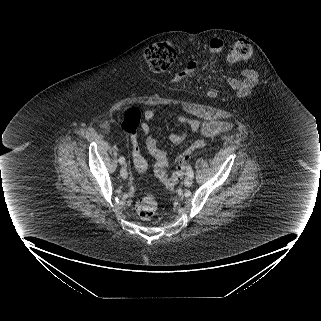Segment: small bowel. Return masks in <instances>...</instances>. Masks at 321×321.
I'll return each mask as SVG.
<instances>
[{
	"mask_svg": "<svg viewBox=\"0 0 321 321\" xmlns=\"http://www.w3.org/2000/svg\"><path fill=\"white\" fill-rule=\"evenodd\" d=\"M224 48V42L221 39L214 38L209 42V53L212 55L219 54ZM200 63L198 61H190L187 65L180 70L173 78L174 82H179L191 74H193L199 67ZM240 74L244 77V81L241 82L240 79L231 76L229 78V87L238 96H245L252 91L253 85L257 82V76L255 73L251 72L250 68L244 66L240 70ZM154 111L152 109H147L144 112V121L140 125V130L144 134H148L150 131L149 122L154 118ZM176 120L186 127L183 133H172L169 135V140L171 143L178 145L182 143L188 136L189 132L198 133L205 138L214 139L219 134L228 131L231 128V124L223 120H210L207 122H201L195 119L187 118L184 116H178ZM133 141L135 139L133 138ZM147 149L154 159V170L155 173L165 174L166 170L174 166L175 161L171 160L165 151H163L155 137L149 136L146 141ZM202 146L201 141L195 142L193 145L184 149L180 158L189 155L193 150Z\"/></svg>",
	"mask_w": 321,
	"mask_h": 321,
	"instance_id": "small-bowel-1",
	"label": "small bowel"
}]
</instances>
